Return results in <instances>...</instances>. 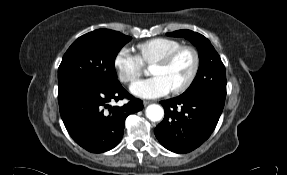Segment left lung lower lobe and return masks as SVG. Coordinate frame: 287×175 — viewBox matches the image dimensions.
Here are the masks:
<instances>
[{"instance_id": "left-lung-lower-lobe-1", "label": "left lung lower lobe", "mask_w": 287, "mask_h": 175, "mask_svg": "<svg viewBox=\"0 0 287 175\" xmlns=\"http://www.w3.org/2000/svg\"><path fill=\"white\" fill-rule=\"evenodd\" d=\"M225 100L207 94L180 95L161 101L165 117L154 130L158 141L175 153H187L214 131Z\"/></svg>"}]
</instances>
